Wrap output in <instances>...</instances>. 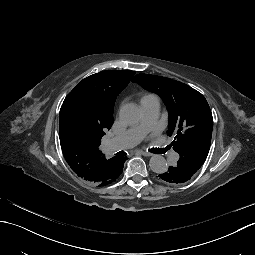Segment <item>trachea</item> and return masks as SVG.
Masks as SVG:
<instances>
[{
	"mask_svg": "<svg viewBox=\"0 0 255 255\" xmlns=\"http://www.w3.org/2000/svg\"><path fill=\"white\" fill-rule=\"evenodd\" d=\"M161 150H162V152H160L161 154H164L167 151L166 148H162ZM149 151L152 152V153H155V152L152 151V149H150Z\"/></svg>",
	"mask_w": 255,
	"mask_h": 255,
	"instance_id": "1",
	"label": "trachea"
}]
</instances>
